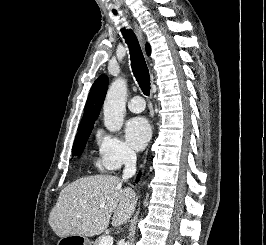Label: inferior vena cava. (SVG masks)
I'll return each instance as SVG.
<instances>
[{
    "label": "inferior vena cava",
    "instance_id": "inferior-vena-cava-1",
    "mask_svg": "<svg viewBox=\"0 0 266 245\" xmlns=\"http://www.w3.org/2000/svg\"><path fill=\"white\" fill-rule=\"evenodd\" d=\"M125 161L126 165L122 175L123 181L124 179H131V177H134L136 173L137 157L134 151H128V153H126Z\"/></svg>",
    "mask_w": 266,
    "mask_h": 245
}]
</instances>
